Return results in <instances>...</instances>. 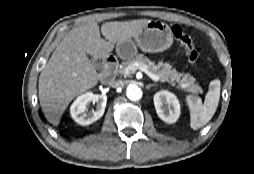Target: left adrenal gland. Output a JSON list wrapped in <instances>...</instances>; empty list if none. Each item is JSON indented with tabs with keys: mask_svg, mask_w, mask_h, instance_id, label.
I'll return each mask as SVG.
<instances>
[{
	"mask_svg": "<svg viewBox=\"0 0 254 174\" xmlns=\"http://www.w3.org/2000/svg\"><path fill=\"white\" fill-rule=\"evenodd\" d=\"M153 86H156V84H149V85L146 86V89L149 90V89H150L151 87H153Z\"/></svg>",
	"mask_w": 254,
	"mask_h": 174,
	"instance_id": "obj_1",
	"label": "left adrenal gland"
}]
</instances>
